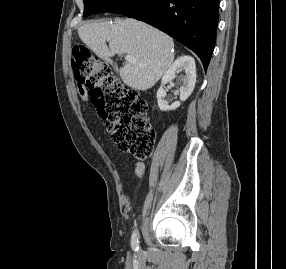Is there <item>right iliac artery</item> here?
<instances>
[{"mask_svg":"<svg viewBox=\"0 0 286 269\" xmlns=\"http://www.w3.org/2000/svg\"><path fill=\"white\" fill-rule=\"evenodd\" d=\"M132 248L137 251L139 249L138 232L134 231L131 237Z\"/></svg>","mask_w":286,"mask_h":269,"instance_id":"82829eb1","label":"right iliac artery"}]
</instances>
